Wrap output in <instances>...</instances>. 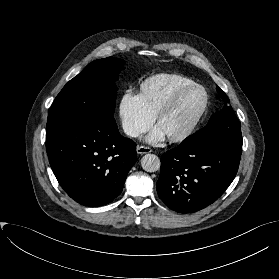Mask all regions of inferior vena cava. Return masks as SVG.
I'll return each instance as SVG.
<instances>
[{
    "instance_id": "obj_1",
    "label": "inferior vena cava",
    "mask_w": 279,
    "mask_h": 279,
    "mask_svg": "<svg viewBox=\"0 0 279 279\" xmlns=\"http://www.w3.org/2000/svg\"><path fill=\"white\" fill-rule=\"evenodd\" d=\"M125 133L131 137H138L140 132L138 129L132 127V126H129V127H126L124 129Z\"/></svg>"
}]
</instances>
